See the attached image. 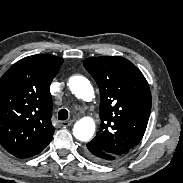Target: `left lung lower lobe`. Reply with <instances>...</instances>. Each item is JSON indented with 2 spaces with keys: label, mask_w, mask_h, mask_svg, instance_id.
Wrapping results in <instances>:
<instances>
[{
  "label": "left lung lower lobe",
  "mask_w": 183,
  "mask_h": 183,
  "mask_svg": "<svg viewBox=\"0 0 183 183\" xmlns=\"http://www.w3.org/2000/svg\"><path fill=\"white\" fill-rule=\"evenodd\" d=\"M86 153L97 162H109L117 158V156L109 154L101 149L96 148L90 143L87 144Z\"/></svg>",
  "instance_id": "obj_1"
}]
</instances>
